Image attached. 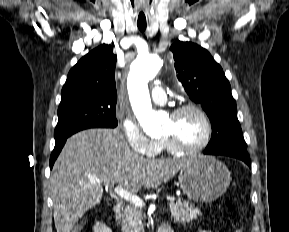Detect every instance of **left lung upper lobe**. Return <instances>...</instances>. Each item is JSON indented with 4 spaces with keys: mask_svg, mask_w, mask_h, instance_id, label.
<instances>
[{
    "mask_svg": "<svg viewBox=\"0 0 289 232\" xmlns=\"http://www.w3.org/2000/svg\"><path fill=\"white\" fill-rule=\"evenodd\" d=\"M170 50L178 80L211 121L212 137L205 150L246 148L231 86L221 66L206 49L191 42L177 41Z\"/></svg>",
    "mask_w": 289,
    "mask_h": 232,
    "instance_id": "5c2ea615",
    "label": "left lung upper lobe"
}]
</instances>
